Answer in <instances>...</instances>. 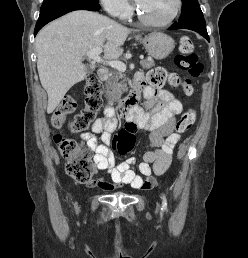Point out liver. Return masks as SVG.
Wrapping results in <instances>:
<instances>
[{
    "mask_svg": "<svg viewBox=\"0 0 248 258\" xmlns=\"http://www.w3.org/2000/svg\"><path fill=\"white\" fill-rule=\"evenodd\" d=\"M115 21L91 11H73L45 26L37 35V69L48 94L47 113H52L67 91L85 79L84 56L99 48L107 59H117L131 33Z\"/></svg>",
    "mask_w": 248,
    "mask_h": 258,
    "instance_id": "1",
    "label": "liver"
}]
</instances>
